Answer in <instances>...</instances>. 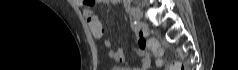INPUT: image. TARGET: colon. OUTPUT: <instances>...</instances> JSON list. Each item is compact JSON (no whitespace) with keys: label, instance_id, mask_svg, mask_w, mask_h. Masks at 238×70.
I'll use <instances>...</instances> for the list:
<instances>
[{"label":"colon","instance_id":"colon-1","mask_svg":"<svg viewBox=\"0 0 238 70\" xmlns=\"http://www.w3.org/2000/svg\"><path fill=\"white\" fill-rule=\"evenodd\" d=\"M147 47L148 49L153 53L155 54L156 56H161L162 54V50L161 48L159 47V45L157 44L156 41L154 40H149L147 42ZM171 70H185L184 66L179 63V62H174L171 66Z\"/></svg>","mask_w":238,"mask_h":70}]
</instances>
